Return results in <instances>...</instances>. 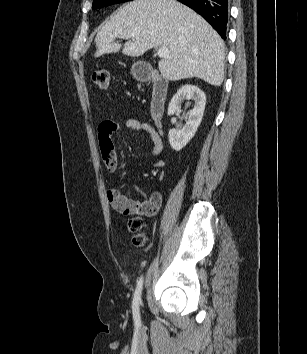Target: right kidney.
<instances>
[{
  "instance_id": "1",
  "label": "right kidney",
  "mask_w": 307,
  "mask_h": 354,
  "mask_svg": "<svg viewBox=\"0 0 307 354\" xmlns=\"http://www.w3.org/2000/svg\"><path fill=\"white\" fill-rule=\"evenodd\" d=\"M185 100H191L193 107L189 111L188 121L181 130H169V143L172 149L180 151L195 135L203 118L206 104L205 93L194 85H184L173 96L169 103L168 115L180 111L181 103Z\"/></svg>"
}]
</instances>
